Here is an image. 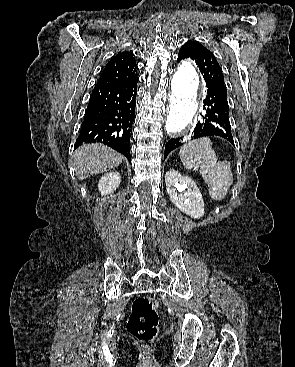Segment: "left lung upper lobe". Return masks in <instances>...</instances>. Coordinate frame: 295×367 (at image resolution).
<instances>
[{
  "mask_svg": "<svg viewBox=\"0 0 295 367\" xmlns=\"http://www.w3.org/2000/svg\"><path fill=\"white\" fill-rule=\"evenodd\" d=\"M185 58L195 60L206 83L214 81L225 84L223 72L215 56L199 42L189 40L180 48L178 61Z\"/></svg>",
  "mask_w": 295,
  "mask_h": 367,
  "instance_id": "left-lung-upper-lobe-1",
  "label": "left lung upper lobe"
}]
</instances>
